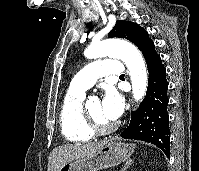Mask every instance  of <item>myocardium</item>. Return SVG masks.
<instances>
[{
  "mask_svg": "<svg viewBox=\"0 0 199 171\" xmlns=\"http://www.w3.org/2000/svg\"><path fill=\"white\" fill-rule=\"evenodd\" d=\"M84 112L87 118V123L89 128L95 134H107L111 133L117 128V124H102L100 123L88 110V108H84Z\"/></svg>",
  "mask_w": 199,
  "mask_h": 171,
  "instance_id": "obj_1",
  "label": "myocardium"
}]
</instances>
